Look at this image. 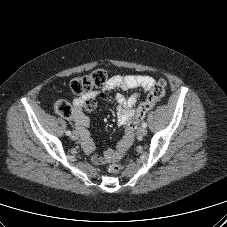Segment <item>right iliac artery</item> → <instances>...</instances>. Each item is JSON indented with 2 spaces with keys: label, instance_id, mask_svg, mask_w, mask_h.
<instances>
[{
  "label": "right iliac artery",
  "instance_id": "82829eb1",
  "mask_svg": "<svg viewBox=\"0 0 227 227\" xmlns=\"http://www.w3.org/2000/svg\"><path fill=\"white\" fill-rule=\"evenodd\" d=\"M66 135H67V136H70V135H71V131L67 130V131H66Z\"/></svg>",
  "mask_w": 227,
  "mask_h": 227
}]
</instances>
